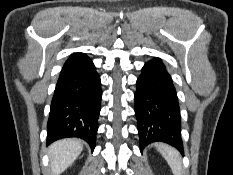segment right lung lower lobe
<instances>
[{"instance_id":"1","label":"right lung lower lobe","mask_w":233,"mask_h":175,"mask_svg":"<svg viewBox=\"0 0 233 175\" xmlns=\"http://www.w3.org/2000/svg\"><path fill=\"white\" fill-rule=\"evenodd\" d=\"M101 81L83 53L65 62L56 84L47 123V144L78 137L95 148L101 102Z\"/></svg>"}]
</instances>
